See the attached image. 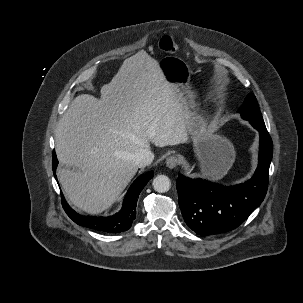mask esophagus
<instances>
[{
  "label": "esophagus",
  "instance_id": "1",
  "mask_svg": "<svg viewBox=\"0 0 303 303\" xmlns=\"http://www.w3.org/2000/svg\"><path fill=\"white\" fill-rule=\"evenodd\" d=\"M166 165L168 168L173 169L178 165V159L176 156L172 155L166 159Z\"/></svg>",
  "mask_w": 303,
  "mask_h": 303
}]
</instances>
